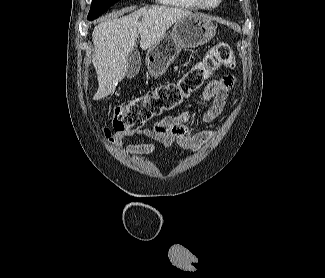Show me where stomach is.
Here are the masks:
<instances>
[{"label": "stomach", "mask_w": 325, "mask_h": 278, "mask_svg": "<svg viewBox=\"0 0 325 278\" xmlns=\"http://www.w3.org/2000/svg\"><path fill=\"white\" fill-rule=\"evenodd\" d=\"M216 26L202 15L182 18L175 22L172 31L147 50L146 63L150 73L159 77L179 55L183 48H196L209 42Z\"/></svg>", "instance_id": "obj_1"}]
</instances>
